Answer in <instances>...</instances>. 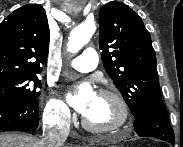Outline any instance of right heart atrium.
Returning a JSON list of instances; mask_svg holds the SVG:
<instances>
[{
  "label": "right heart atrium",
  "mask_w": 183,
  "mask_h": 147,
  "mask_svg": "<svg viewBox=\"0 0 183 147\" xmlns=\"http://www.w3.org/2000/svg\"><path fill=\"white\" fill-rule=\"evenodd\" d=\"M72 114L68 106L53 92H49L43 107V119L49 126L66 129L70 126Z\"/></svg>",
  "instance_id": "d8ad5b80"
}]
</instances>
